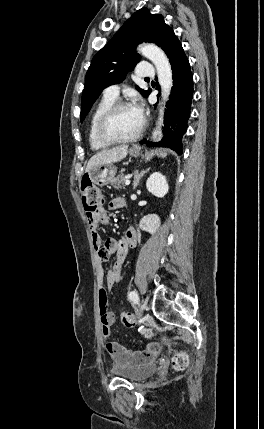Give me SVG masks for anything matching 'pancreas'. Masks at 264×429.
<instances>
[{
    "label": "pancreas",
    "mask_w": 264,
    "mask_h": 429,
    "mask_svg": "<svg viewBox=\"0 0 264 429\" xmlns=\"http://www.w3.org/2000/svg\"><path fill=\"white\" fill-rule=\"evenodd\" d=\"M124 183H125V175H124L123 171H121L117 177H114L111 180V185L116 189H119L122 187L124 188Z\"/></svg>",
    "instance_id": "1"
}]
</instances>
